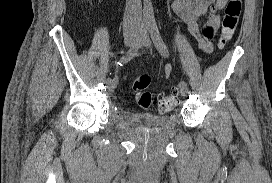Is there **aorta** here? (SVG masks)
<instances>
[{
  "instance_id": "1",
  "label": "aorta",
  "mask_w": 272,
  "mask_h": 183,
  "mask_svg": "<svg viewBox=\"0 0 272 183\" xmlns=\"http://www.w3.org/2000/svg\"><path fill=\"white\" fill-rule=\"evenodd\" d=\"M143 22L152 24L155 22L154 11L151 0H144L143 3Z\"/></svg>"
}]
</instances>
